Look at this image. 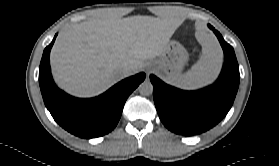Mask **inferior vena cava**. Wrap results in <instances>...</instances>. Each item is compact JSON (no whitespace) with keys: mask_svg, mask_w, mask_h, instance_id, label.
Returning a JSON list of instances; mask_svg holds the SVG:
<instances>
[{"mask_svg":"<svg viewBox=\"0 0 279 166\" xmlns=\"http://www.w3.org/2000/svg\"><path fill=\"white\" fill-rule=\"evenodd\" d=\"M132 71V68L130 66H124L122 69H121V73H122V76L123 77H127L130 75Z\"/></svg>","mask_w":279,"mask_h":166,"instance_id":"inferior-vena-cava-1","label":"inferior vena cava"}]
</instances>
